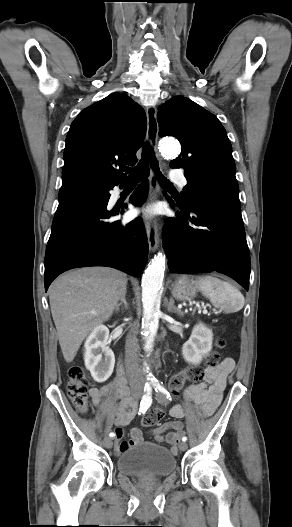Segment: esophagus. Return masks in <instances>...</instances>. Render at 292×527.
<instances>
[{
	"label": "esophagus",
	"mask_w": 292,
	"mask_h": 527,
	"mask_svg": "<svg viewBox=\"0 0 292 527\" xmlns=\"http://www.w3.org/2000/svg\"><path fill=\"white\" fill-rule=\"evenodd\" d=\"M147 116V140L150 146L156 151L157 146V136H158V121H157V111L154 106L147 107L146 110ZM150 191L148 196V201L152 202L157 198L158 193V180L155 172L151 170L150 176ZM145 228L147 233V240L150 251H155L159 244V234L157 224L150 219L145 220Z\"/></svg>",
	"instance_id": "esophagus-1"
}]
</instances>
